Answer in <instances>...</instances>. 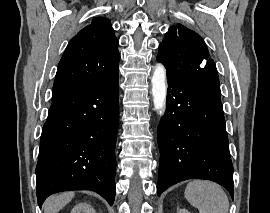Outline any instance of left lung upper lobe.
<instances>
[{
  "label": "left lung upper lobe",
  "instance_id": "obj_1",
  "mask_svg": "<svg viewBox=\"0 0 270 213\" xmlns=\"http://www.w3.org/2000/svg\"><path fill=\"white\" fill-rule=\"evenodd\" d=\"M157 61L167 69V78H198L220 88L215 63L203 39L181 24L169 28L159 45Z\"/></svg>",
  "mask_w": 270,
  "mask_h": 213
}]
</instances>
